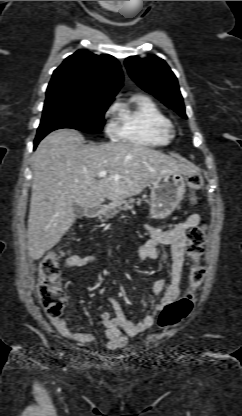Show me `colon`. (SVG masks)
<instances>
[{
    "instance_id": "5ec220e1",
    "label": "colon",
    "mask_w": 242,
    "mask_h": 416,
    "mask_svg": "<svg viewBox=\"0 0 242 416\" xmlns=\"http://www.w3.org/2000/svg\"><path fill=\"white\" fill-rule=\"evenodd\" d=\"M191 188L197 189L202 185L198 174L188 177ZM206 227L198 224L190 228L188 233L187 256L191 266L188 277L187 291L176 301L167 304L159 314L160 328H169L186 318L194 307L196 293L201 287L204 268L200 261L204 253ZM62 250L54 249L47 252L38 263L37 296L41 307L50 317H60L66 305V295L59 276V261L63 257Z\"/></svg>"
}]
</instances>
